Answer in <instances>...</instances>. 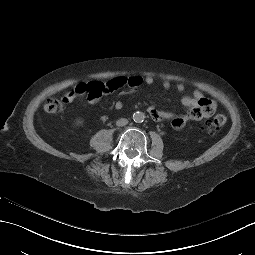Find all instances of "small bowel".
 <instances>
[{"instance_id": "1", "label": "small bowel", "mask_w": 255, "mask_h": 255, "mask_svg": "<svg viewBox=\"0 0 255 255\" xmlns=\"http://www.w3.org/2000/svg\"><path fill=\"white\" fill-rule=\"evenodd\" d=\"M153 83L154 79L151 76L116 77L105 83L99 81L80 82L63 96L62 101L64 103H70L78 97L86 96L89 102L97 103L104 95L124 87L128 88V92H132L143 84L152 85ZM171 85L169 80H164L162 82V87L164 89H169ZM175 89L178 92H183L185 86L182 83H178L175 85ZM181 102L189 109L185 114L173 117L169 113L163 112L155 107H149L148 113L156 121L171 118L172 127L175 129H182L188 121H198L202 118H209L216 110V103L204 97L199 91L184 96ZM114 107L116 109H121L123 107V102L119 99L116 100L114 102Z\"/></svg>"}]
</instances>
